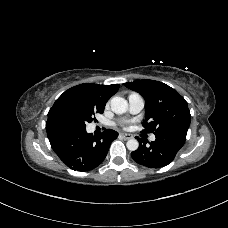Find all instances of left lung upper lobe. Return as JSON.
<instances>
[{"label": "left lung upper lobe", "instance_id": "left-lung-upper-lobe-1", "mask_svg": "<svg viewBox=\"0 0 228 228\" xmlns=\"http://www.w3.org/2000/svg\"><path fill=\"white\" fill-rule=\"evenodd\" d=\"M129 89L139 92L146 101L144 133L169 129L188 130L191 115L185 99L170 86L154 80H137L124 83Z\"/></svg>", "mask_w": 228, "mask_h": 228}]
</instances>
